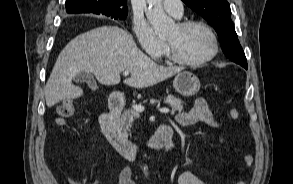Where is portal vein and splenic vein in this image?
<instances>
[{
    "instance_id": "portal-vein-and-splenic-vein-1",
    "label": "portal vein and splenic vein",
    "mask_w": 293,
    "mask_h": 184,
    "mask_svg": "<svg viewBox=\"0 0 293 184\" xmlns=\"http://www.w3.org/2000/svg\"><path fill=\"white\" fill-rule=\"evenodd\" d=\"M129 71L128 70H126V71H124L123 72V74H124V76H128L129 75ZM133 109L136 111V112H143L144 111V107L143 106H141V105H133ZM159 111L161 112V113H165V114H167V113H169V109L168 108H161V109H159Z\"/></svg>"
}]
</instances>
